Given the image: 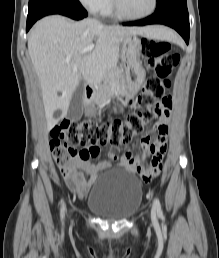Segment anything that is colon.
Returning a JSON list of instances; mask_svg holds the SVG:
<instances>
[{"mask_svg":"<svg viewBox=\"0 0 219 258\" xmlns=\"http://www.w3.org/2000/svg\"><path fill=\"white\" fill-rule=\"evenodd\" d=\"M142 52L155 75L145 81L133 110L124 120L106 123L63 120L52 128L50 147L63 176L71 174L74 160L96 156L99 146L130 143L144 132L145 126L155 117L154 107L158 100L165 97V90L170 85L180 57L171 51L169 43L150 39L142 40ZM77 146L87 148L78 150Z\"/></svg>","mask_w":219,"mask_h":258,"instance_id":"colon-1","label":"colon"}]
</instances>
